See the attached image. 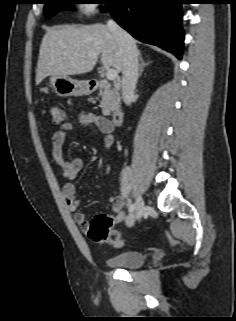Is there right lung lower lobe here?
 Instances as JSON below:
<instances>
[{
  "label": "right lung lower lobe",
  "instance_id": "98d812e1",
  "mask_svg": "<svg viewBox=\"0 0 236 321\" xmlns=\"http://www.w3.org/2000/svg\"><path fill=\"white\" fill-rule=\"evenodd\" d=\"M180 0H110L115 21L142 42L157 45L181 59L184 44Z\"/></svg>",
  "mask_w": 236,
  "mask_h": 321
}]
</instances>
